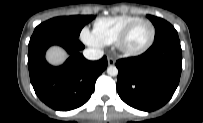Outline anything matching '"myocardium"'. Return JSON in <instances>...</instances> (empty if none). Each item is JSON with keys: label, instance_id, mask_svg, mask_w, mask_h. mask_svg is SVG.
<instances>
[{"label": "myocardium", "instance_id": "myocardium-1", "mask_svg": "<svg viewBox=\"0 0 203 123\" xmlns=\"http://www.w3.org/2000/svg\"><path fill=\"white\" fill-rule=\"evenodd\" d=\"M148 23L151 27V37L149 39V41L147 42V44L145 46H143L140 49H136V50H130L128 48L125 47V43L126 40L129 36V34L131 33L132 29L139 23ZM155 37H156V28L155 25L148 19H144V18H140L138 20L133 21L132 23H130L118 36V38L115 41V46L117 48V50L119 51L120 54H122L123 56H127V57H132V56H138L141 55L143 53H145L154 43L155 41Z\"/></svg>", "mask_w": 203, "mask_h": 123}]
</instances>
